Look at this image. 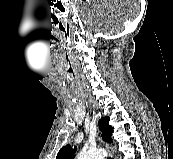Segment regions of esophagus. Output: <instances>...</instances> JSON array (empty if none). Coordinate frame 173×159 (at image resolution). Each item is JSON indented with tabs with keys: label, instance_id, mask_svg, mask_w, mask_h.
<instances>
[{
	"label": "esophagus",
	"instance_id": "obj_1",
	"mask_svg": "<svg viewBox=\"0 0 173 159\" xmlns=\"http://www.w3.org/2000/svg\"><path fill=\"white\" fill-rule=\"evenodd\" d=\"M105 147L108 148V145L105 144ZM107 159H113V156L109 154V155L107 156Z\"/></svg>",
	"mask_w": 173,
	"mask_h": 159
}]
</instances>
